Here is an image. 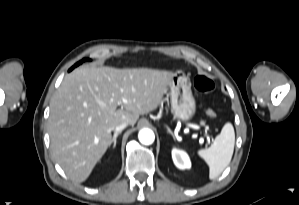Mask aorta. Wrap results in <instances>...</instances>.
I'll use <instances>...</instances> for the list:
<instances>
[{
    "instance_id": "1",
    "label": "aorta",
    "mask_w": 299,
    "mask_h": 205,
    "mask_svg": "<svg viewBox=\"0 0 299 205\" xmlns=\"http://www.w3.org/2000/svg\"><path fill=\"white\" fill-rule=\"evenodd\" d=\"M139 141L144 145H150L155 140L154 132L148 128L140 130L138 134Z\"/></svg>"
}]
</instances>
